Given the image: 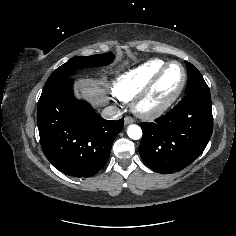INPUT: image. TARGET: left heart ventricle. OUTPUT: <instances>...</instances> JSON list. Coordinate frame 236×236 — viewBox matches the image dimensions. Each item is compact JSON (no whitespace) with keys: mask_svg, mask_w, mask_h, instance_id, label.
<instances>
[{"mask_svg":"<svg viewBox=\"0 0 236 236\" xmlns=\"http://www.w3.org/2000/svg\"><path fill=\"white\" fill-rule=\"evenodd\" d=\"M182 76L181 68L176 64L171 65L144 102L143 106L145 108H153L166 102L180 86Z\"/></svg>","mask_w":236,"mask_h":236,"instance_id":"obj_1","label":"left heart ventricle"}]
</instances>
